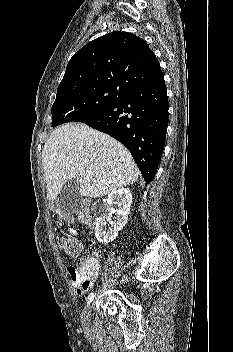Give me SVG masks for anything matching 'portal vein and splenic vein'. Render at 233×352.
<instances>
[{"mask_svg": "<svg viewBox=\"0 0 233 352\" xmlns=\"http://www.w3.org/2000/svg\"><path fill=\"white\" fill-rule=\"evenodd\" d=\"M86 173H87L88 175H90V174H91V171H90V170H87Z\"/></svg>", "mask_w": 233, "mask_h": 352, "instance_id": "portal-vein-and-splenic-vein-1", "label": "portal vein and splenic vein"}]
</instances>
